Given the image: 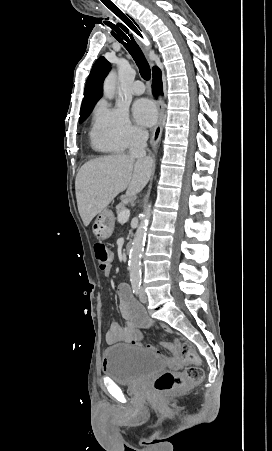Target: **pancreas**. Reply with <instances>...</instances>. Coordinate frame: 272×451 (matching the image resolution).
I'll return each instance as SVG.
<instances>
[{"label": "pancreas", "mask_w": 272, "mask_h": 451, "mask_svg": "<svg viewBox=\"0 0 272 451\" xmlns=\"http://www.w3.org/2000/svg\"><path fill=\"white\" fill-rule=\"evenodd\" d=\"M121 200H128V202H129V198H126V196H122ZM125 206H127V204H118V206H116L117 214H120V212H123V210H126Z\"/></svg>", "instance_id": "obj_1"}]
</instances>
